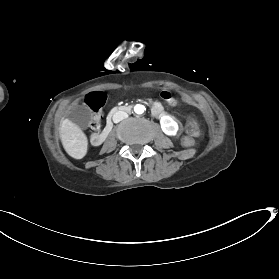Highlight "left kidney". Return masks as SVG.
<instances>
[{
    "mask_svg": "<svg viewBox=\"0 0 279 279\" xmlns=\"http://www.w3.org/2000/svg\"><path fill=\"white\" fill-rule=\"evenodd\" d=\"M162 132L168 137H175L179 131V124L170 115H163L160 118Z\"/></svg>",
    "mask_w": 279,
    "mask_h": 279,
    "instance_id": "1",
    "label": "left kidney"
}]
</instances>
